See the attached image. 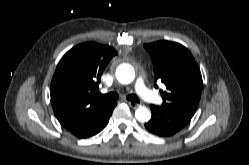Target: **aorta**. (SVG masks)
<instances>
[{"label":"aorta","mask_w":249,"mask_h":165,"mask_svg":"<svg viewBox=\"0 0 249 165\" xmlns=\"http://www.w3.org/2000/svg\"><path fill=\"white\" fill-rule=\"evenodd\" d=\"M134 77V69L129 65H121L116 70V78L122 84L131 83ZM135 117L140 122H147L151 118V113L147 108L140 106L135 112Z\"/></svg>","instance_id":"aorta-1"}]
</instances>
